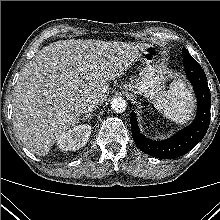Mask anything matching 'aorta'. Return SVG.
<instances>
[{"instance_id": "1", "label": "aorta", "mask_w": 220, "mask_h": 220, "mask_svg": "<svg viewBox=\"0 0 220 220\" xmlns=\"http://www.w3.org/2000/svg\"><path fill=\"white\" fill-rule=\"evenodd\" d=\"M110 104L111 109L116 113H123L126 110V101L121 97L112 99Z\"/></svg>"}]
</instances>
